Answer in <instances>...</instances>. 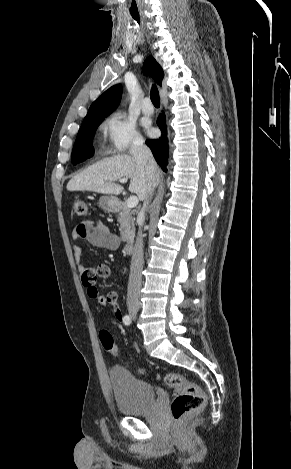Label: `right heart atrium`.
I'll return each instance as SVG.
<instances>
[{"mask_svg": "<svg viewBox=\"0 0 291 469\" xmlns=\"http://www.w3.org/2000/svg\"><path fill=\"white\" fill-rule=\"evenodd\" d=\"M106 149L110 153H125L143 144L135 124L121 112L111 113L102 123Z\"/></svg>", "mask_w": 291, "mask_h": 469, "instance_id": "1", "label": "right heart atrium"}]
</instances>
